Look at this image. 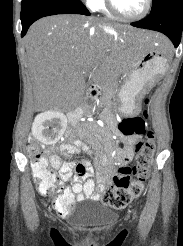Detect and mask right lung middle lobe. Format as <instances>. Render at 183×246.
I'll return each mask as SVG.
<instances>
[{"mask_svg": "<svg viewBox=\"0 0 183 246\" xmlns=\"http://www.w3.org/2000/svg\"><path fill=\"white\" fill-rule=\"evenodd\" d=\"M57 1H61V0H22L21 8H25V7H29V6L37 5V4H42V3L53 4Z\"/></svg>", "mask_w": 183, "mask_h": 246, "instance_id": "obj_1", "label": "right lung middle lobe"}]
</instances>
